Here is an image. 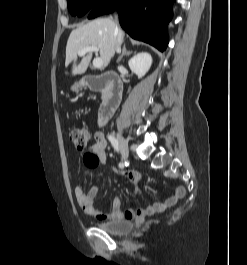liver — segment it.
I'll return each mask as SVG.
<instances>
[{
  "label": "liver",
  "mask_w": 247,
  "mask_h": 265,
  "mask_svg": "<svg viewBox=\"0 0 247 265\" xmlns=\"http://www.w3.org/2000/svg\"><path fill=\"white\" fill-rule=\"evenodd\" d=\"M116 24L109 18H99L89 22L70 33L66 46L65 66L74 62L72 75L83 74L87 70L92 58V52H88L77 65L78 52L88 46H97L100 51V58L106 67L111 58L118 50L119 42L115 31ZM121 41L124 33L120 31ZM121 43V42H120Z\"/></svg>",
  "instance_id": "1"
}]
</instances>
